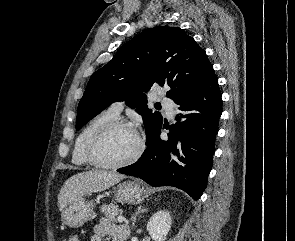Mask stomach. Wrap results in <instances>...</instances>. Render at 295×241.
Listing matches in <instances>:
<instances>
[{
	"label": "stomach",
	"mask_w": 295,
	"mask_h": 241,
	"mask_svg": "<svg viewBox=\"0 0 295 241\" xmlns=\"http://www.w3.org/2000/svg\"><path fill=\"white\" fill-rule=\"evenodd\" d=\"M147 196V189L139 180H127L117 186L116 200L121 203L138 204ZM94 204L81 198L68 205L62 211V222L71 227L78 228L94 217Z\"/></svg>",
	"instance_id": "0dacf381"
}]
</instances>
